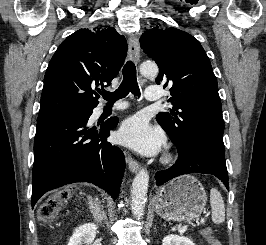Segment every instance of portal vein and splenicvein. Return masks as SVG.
Returning a JSON list of instances; mask_svg holds the SVG:
<instances>
[{"label":"portal vein and splenic vein","instance_id":"obj_1","mask_svg":"<svg viewBox=\"0 0 266 245\" xmlns=\"http://www.w3.org/2000/svg\"><path fill=\"white\" fill-rule=\"evenodd\" d=\"M184 231H187V227H182V229H180L179 233H184Z\"/></svg>","mask_w":266,"mask_h":245}]
</instances>
